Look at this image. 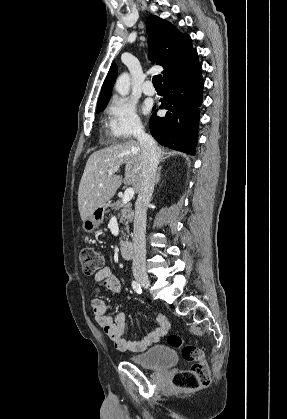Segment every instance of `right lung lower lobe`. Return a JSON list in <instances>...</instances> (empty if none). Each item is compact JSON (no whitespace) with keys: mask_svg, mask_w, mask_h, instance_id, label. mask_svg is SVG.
<instances>
[{"mask_svg":"<svg viewBox=\"0 0 287 419\" xmlns=\"http://www.w3.org/2000/svg\"><path fill=\"white\" fill-rule=\"evenodd\" d=\"M203 87L201 64L163 82L160 109L167 110L166 115L157 117L155 111L149 122L151 135L158 143L195 155Z\"/></svg>","mask_w":287,"mask_h":419,"instance_id":"1","label":"right lung lower lobe"}]
</instances>
